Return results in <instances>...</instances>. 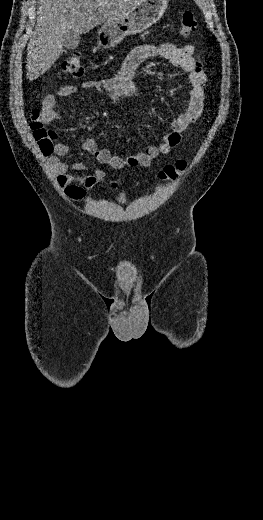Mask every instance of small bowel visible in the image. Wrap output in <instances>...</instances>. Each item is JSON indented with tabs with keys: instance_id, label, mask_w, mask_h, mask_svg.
I'll return each instance as SVG.
<instances>
[{
	"instance_id": "c3829d8e",
	"label": "small bowel",
	"mask_w": 263,
	"mask_h": 520,
	"mask_svg": "<svg viewBox=\"0 0 263 520\" xmlns=\"http://www.w3.org/2000/svg\"><path fill=\"white\" fill-rule=\"evenodd\" d=\"M161 57L168 60L172 65L181 68L188 74L191 89L189 102L186 110L174 118L170 131L163 137L158 145L147 147L143 152L136 155L121 157L112 155L108 149L99 148L93 138L85 137L81 144L100 164L108 165L113 169L125 167H149L159 154H167L181 141L182 133L201 116L204 107V90L206 75L202 69L201 62L194 54L191 45L178 46L171 42L159 44H142L135 47L126 57L118 73L108 79L86 80L79 86L65 85L59 88L56 94L48 95L43 100V108L40 120L50 123L60 119L56 111L59 97H68L78 93L80 89H94L97 92H105L119 98L134 99L139 95V90L133 82L136 70L147 60ZM69 148L64 144H56L53 155L48 158V165L56 176L58 184L64 189L65 194L73 199L80 200L84 197L86 190L92 189L100 183L105 172L96 169L91 174H77L84 169L82 162L67 164L61 157L67 155Z\"/></svg>"
}]
</instances>
